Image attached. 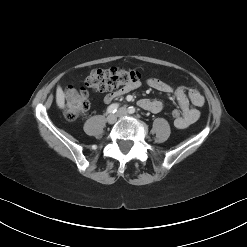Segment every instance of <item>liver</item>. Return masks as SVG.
Segmentation results:
<instances>
[{
    "label": "liver",
    "mask_w": 247,
    "mask_h": 247,
    "mask_svg": "<svg viewBox=\"0 0 247 247\" xmlns=\"http://www.w3.org/2000/svg\"><path fill=\"white\" fill-rule=\"evenodd\" d=\"M56 103L61 109L65 106V94L60 86H58L56 90Z\"/></svg>",
    "instance_id": "liver-1"
}]
</instances>
